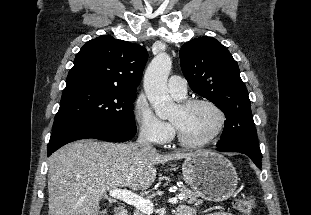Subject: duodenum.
Masks as SVG:
<instances>
[{
    "label": "duodenum",
    "mask_w": 311,
    "mask_h": 215,
    "mask_svg": "<svg viewBox=\"0 0 311 215\" xmlns=\"http://www.w3.org/2000/svg\"><path fill=\"white\" fill-rule=\"evenodd\" d=\"M115 215H129V213L123 208H118Z\"/></svg>",
    "instance_id": "1"
}]
</instances>
